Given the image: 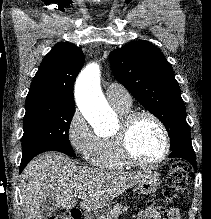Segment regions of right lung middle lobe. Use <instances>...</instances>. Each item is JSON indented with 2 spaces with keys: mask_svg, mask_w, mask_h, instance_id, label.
<instances>
[{
  "mask_svg": "<svg viewBox=\"0 0 211 219\" xmlns=\"http://www.w3.org/2000/svg\"><path fill=\"white\" fill-rule=\"evenodd\" d=\"M25 108L22 158L45 151H59L75 157L68 137L75 107L34 101L26 103Z\"/></svg>",
  "mask_w": 211,
  "mask_h": 219,
  "instance_id": "1",
  "label": "right lung middle lobe"
}]
</instances>
